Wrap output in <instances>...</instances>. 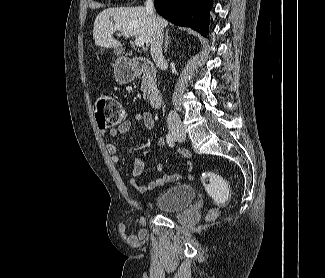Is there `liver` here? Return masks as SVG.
I'll return each mask as SVG.
<instances>
[{"mask_svg":"<svg viewBox=\"0 0 325 278\" xmlns=\"http://www.w3.org/2000/svg\"><path fill=\"white\" fill-rule=\"evenodd\" d=\"M160 27H167L168 21L156 16ZM153 22L146 8L115 7L101 11L95 18L93 39L96 46L104 48H119L121 42L114 39L113 34L120 31L125 37L142 38L147 47L151 46L153 37Z\"/></svg>","mask_w":325,"mask_h":278,"instance_id":"1","label":"liver"}]
</instances>
